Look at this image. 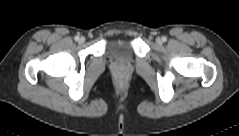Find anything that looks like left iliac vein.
Here are the masks:
<instances>
[{"instance_id":"obj_1","label":"left iliac vein","mask_w":239,"mask_h":136,"mask_svg":"<svg viewBox=\"0 0 239 136\" xmlns=\"http://www.w3.org/2000/svg\"><path fill=\"white\" fill-rule=\"evenodd\" d=\"M156 43H157V44H159V45H161V44H162V39H161V38H159V37H158V38H156Z\"/></svg>"}]
</instances>
